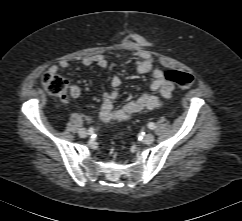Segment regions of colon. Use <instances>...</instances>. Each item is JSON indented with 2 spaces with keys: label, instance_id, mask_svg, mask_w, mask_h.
<instances>
[{
  "label": "colon",
  "instance_id": "obj_1",
  "mask_svg": "<svg viewBox=\"0 0 242 221\" xmlns=\"http://www.w3.org/2000/svg\"><path fill=\"white\" fill-rule=\"evenodd\" d=\"M164 78L182 89H189L194 84L193 76L183 71H166L164 73ZM41 84L46 91L54 96L61 98L67 96V81L57 72H45L41 77Z\"/></svg>",
  "mask_w": 242,
  "mask_h": 221
}]
</instances>
